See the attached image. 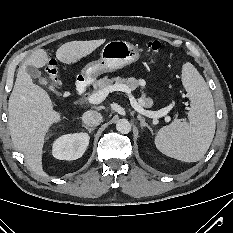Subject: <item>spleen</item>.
Listing matches in <instances>:
<instances>
[{"label": "spleen", "mask_w": 233, "mask_h": 233, "mask_svg": "<svg viewBox=\"0 0 233 233\" xmlns=\"http://www.w3.org/2000/svg\"><path fill=\"white\" fill-rule=\"evenodd\" d=\"M182 83L191 101L188 122L174 121L155 136V146L168 157L183 162L199 161L209 149L215 133V109L203 77L189 62L182 66Z\"/></svg>", "instance_id": "3e777b00"}]
</instances>
